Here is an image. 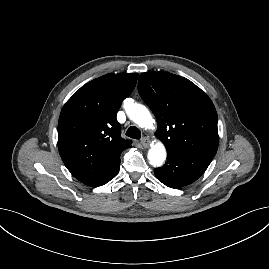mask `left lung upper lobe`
<instances>
[{
  "instance_id": "5c2ea615",
  "label": "left lung upper lobe",
  "mask_w": 269,
  "mask_h": 269,
  "mask_svg": "<svg viewBox=\"0 0 269 269\" xmlns=\"http://www.w3.org/2000/svg\"><path fill=\"white\" fill-rule=\"evenodd\" d=\"M138 91L157 119L156 136L167 150L215 156L218 117L205 92L188 79L167 72L142 73Z\"/></svg>"
}]
</instances>
